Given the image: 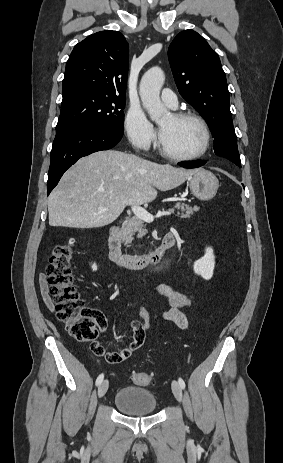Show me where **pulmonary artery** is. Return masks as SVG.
<instances>
[{
	"mask_svg": "<svg viewBox=\"0 0 283 463\" xmlns=\"http://www.w3.org/2000/svg\"><path fill=\"white\" fill-rule=\"evenodd\" d=\"M163 102L171 109H176L178 106V99L176 94L169 88H165L161 92Z\"/></svg>",
	"mask_w": 283,
	"mask_h": 463,
	"instance_id": "1",
	"label": "pulmonary artery"
}]
</instances>
